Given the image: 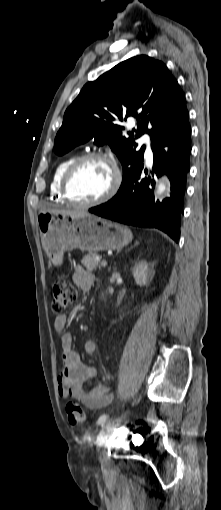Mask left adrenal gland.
<instances>
[{
  "label": "left adrenal gland",
  "instance_id": "1",
  "mask_svg": "<svg viewBox=\"0 0 221 510\" xmlns=\"http://www.w3.org/2000/svg\"><path fill=\"white\" fill-rule=\"evenodd\" d=\"M136 245H138V242H137V241L135 242L134 246H131V247H130V249H132V248H133V247H135ZM130 249H129V250H130Z\"/></svg>",
  "mask_w": 221,
  "mask_h": 510
}]
</instances>
